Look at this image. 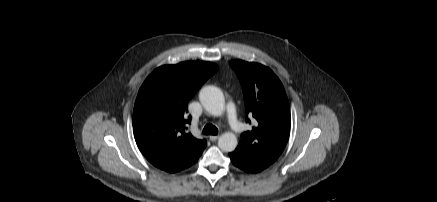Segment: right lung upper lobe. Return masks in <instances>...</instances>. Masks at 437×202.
I'll list each match as a JSON object with an SVG mask.
<instances>
[{
  "label": "right lung upper lobe",
  "instance_id": "obj_1",
  "mask_svg": "<svg viewBox=\"0 0 437 202\" xmlns=\"http://www.w3.org/2000/svg\"><path fill=\"white\" fill-rule=\"evenodd\" d=\"M218 70L210 62L190 61L155 69L141 86L133 111L138 148L157 168L169 173L192 165L207 143L187 132L188 102Z\"/></svg>",
  "mask_w": 437,
  "mask_h": 202
}]
</instances>
